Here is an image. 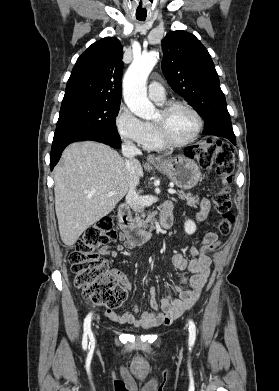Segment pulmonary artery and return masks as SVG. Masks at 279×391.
Segmentation results:
<instances>
[{"instance_id":"e3ab8cb5","label":"pulmonary artery","mask_w":279,"mask_h":391,"mask_svg":"<svg viewBox=\"0 0 279 391\" xmlns=\"http://www.w3.org/2000/svg\"><path fill=\"white\" fill-rule=\"evenodd\" d=\"M149 97L156 102H163L166 98V93L163 86L156 82H150L148 86Z\"/></svg>"}]
</instances>
